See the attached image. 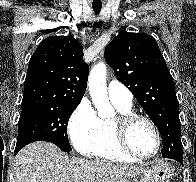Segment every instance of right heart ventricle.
<instances>
[{"instance_id":"obj_1","label":"right heart ventricle","mask_w":196,"mask_h":182,"mask_svg":"<svg viewBox=\"0 0 196 182\" xmlns=\"http://www.w3.org/2000/svg\"><path fill=\"white\" fill-rule=\"evenodd\" d=\"M113 102V101H112ZM120 113L132 112L131 105L113 102ZM89 155L97 160L114 163H134L137 160L124 154L116 145L110 120L100 119L98 140Z\"/></svg>"}]
</instances>
